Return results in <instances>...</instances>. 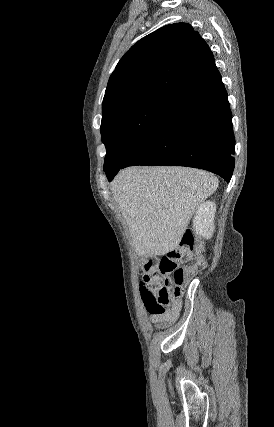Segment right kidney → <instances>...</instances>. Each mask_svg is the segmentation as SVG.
<instances>
[{
  "instance_id": "obj_1",
  "label": "right kidney",
  "mask_w": 274,
  "mask_h": 427,
  "mask_svg": "<svg viewBox=\"0 0 274 427\" xmlns=\"http://www.w3.org/2000/svg\"><path fill=\"white\" fill-rule=\"evenodd\" d=\"M216 214L215 202H204L199 206L193 219V229L198 235H202L204 239H210L214 233V217Z\"/></svg>"
}]
</instances>
